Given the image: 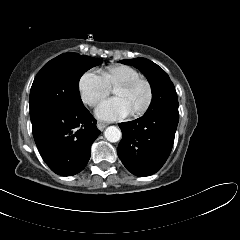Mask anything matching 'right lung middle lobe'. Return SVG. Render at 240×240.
Returning a JSON list of instances; mask_svg holds the SVG:
<instances>
[{
  "label": "right lung middle lobe",
  "mask_w": 240,
  "mask_h": 240,
  "mask_svg": "<svg viewBox=\"0 0 240 240\" xmlns=\"http://www.w3.org/2000/svg\"><path fill=\"white\" fill-rule=\"evenodd\" d=\"M100 64L99 59L77 53H65L49 61L36 75L31 87V121L50 112L84 106L79 80L87 70Z\"/></svg>",
  "instance_id": "obj_1"
}]
</instances>
